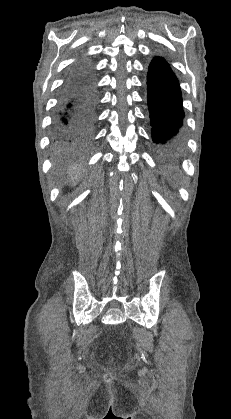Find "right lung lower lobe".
Here are the masks:
<instances>
[{"instance_id":"right-lung-lower-lobe-1","label":"right lung lower lobe","mask_w":231,"mask_h":419,"mask_svg":"<svg viewBox=\"0 0 231 419\" xmlns=\"http://www.w3.org/2000/svg\"><path fill=\"white\" fill-rule=\"evenodd\" d=\"M96 92L83 69L73 70L59 97L55 139L71 146L86 145L94 131Z\"/></svg>"}]
</instances>
